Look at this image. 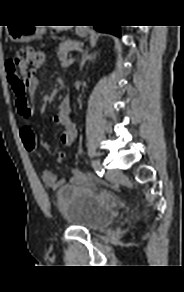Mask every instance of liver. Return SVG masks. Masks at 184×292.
<instances>
[{
  "label": "liver",
  "instance_id": "6515ba94",
  "mask_svg": "<svg viewBox=\"0 0 184 292\" xmlns=\"http://www.w3.org/2000/svg\"><path fill=\"white\" fill-rule=\"evenodd\" d=\"M56 29L58 31L66 30L67 29V26H57Z\"/></svg>",
  "mask_w": 184,
  "mask_h": 292
}]
</instances>
